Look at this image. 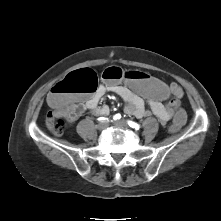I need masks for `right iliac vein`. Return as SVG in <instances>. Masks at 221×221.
<instances>
[{
	"instance_id": "right-iliac-vein-1",
	"label": "right iliac vein",
	"mask_w": 221,
	"mask_h": 221,
	"mask_svg": "<svg viewBox=\"0 0 221 221\" xmlns=\"http://www.w3.org/2000/svg\"><path fill=\"white\" fill-rule=\"evenodd\" d=\"M107 126H108V123H107V122H101V123H99V124L97 125V129H98V130H104V129L107 128Z\"/></svg>"
}]
</instances>
